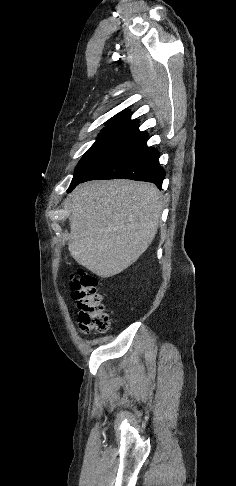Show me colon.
<instances>
[{"mask_svg":"<svg viewBox=\"0 0 236 486\" xmlns=\"http://www.w3.org/2000/svg\"><path fill=\"white\" fill-rule=\"evenodd\" d=\"M71 292L79 309V330L83 334L108 331L110 318L104 310L102 297L98 292L97 277L80 272L79 276L71 282Z\"/></svg>","mask_w":236,"mask_h":486,"instance_id":"obj_1","label":"colon"}]
</instances>
